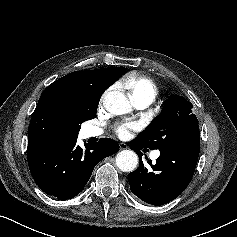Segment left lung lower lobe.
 Masks as SVG:
<instances>
[{"instance_id":"1","label":"left lung lower lobe","mask_w":237,"mask_h":237,"mask_svg":"<svg viewBox=\"0 0 237 237\" xmlns=\"http://www.w3.org/2000/svg\"><path fill=\"white\" fill-rule=\"evenodd\" d=\"M130 148L140 157L139 167L128 177L130 189L144 202L159 206L174 200L190 183L199 156L200 133L196 129L178 146L160 149L156 163L148 161V168L140 151L146 147L134 139Z\"/></svg>"}]
</instances>
